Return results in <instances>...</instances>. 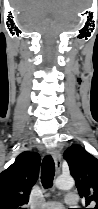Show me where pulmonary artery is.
<instances>
[{
	"label": "pulmonary artery",
	"mask_w": 98,
	"mask_h": 209,
	"mask_svg": "<svg viewBox=\"0 0 98 209\" xmlns=\"http://www.w3.org/2000/svg\"><path fill=\"white\" fill-rule=\"evenodd\" d=\"M78 196L74 192H68L64 198V203L69 206H76L78 204ZM41 209H64V205L60 202H47Z\"/></svg>",
	"instance_id": "obj_1"
}]
</instances>
